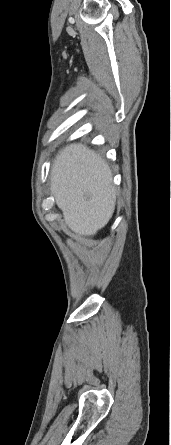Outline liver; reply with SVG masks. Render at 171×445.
I'll use <instances>...</instances> for the list:
<instances>
[{"label":"liver","instance_id":"liver-1","mask_svg":"<svg viewBox=\"0 0 171 445\" xmlns=\"http://www.w3.org/2000/svg\"><path fill=\"white\" fill-rule=\"evenodd\" d=\"M51 192L66 225L77 235L91 236L111 219L116 202L106 161L82 144H71L55 158Z\"/></svg>","mask_w":171,"mask_h":445}]
</instances>
